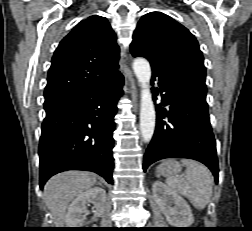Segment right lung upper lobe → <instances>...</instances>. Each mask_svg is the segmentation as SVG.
<instances>
[{"label": "right lung upper lobe", "mask_w": 252, "mask_h": 231, "mask_svg": "<svg viewBox=\"0 0 252 231\" xmlns=\"http://www.w3.org/2000/svg\"><path fill=\"white\" fill-rule=\"evenodd\" d=\"M116 38L105 17L94 15L78 23L54 52L45 103L63 102L83 89L121 77Z\"/></svg>", "instance_id": "obj_1"}]
</instances>
